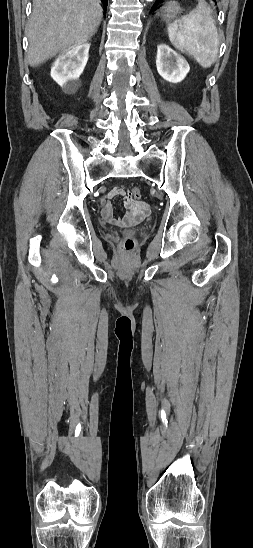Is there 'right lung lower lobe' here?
Masks as SVG:
<instances>
[{
  "mask_svg": "<svg viewBox=\"0 0 253 548\" xmlns=\"http://www.w3.org/2000/svg\"><path fill=\"white\" fill-rule=\"evenodd\" d=\"M104 4V8L107 9V3H108V0H101Z\"/></svg>",
  "mask_w": 253,
  "mask_h": 548,
  "instance_id": "obj_1",
  "label": "right lung lower lobe"
}]
</instances>
